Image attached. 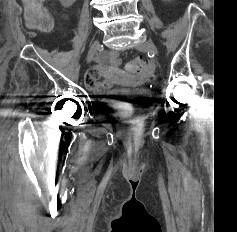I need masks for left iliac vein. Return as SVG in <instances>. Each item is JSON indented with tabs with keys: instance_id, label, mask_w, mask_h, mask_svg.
I'll return each mask as SVG.
<instances>
[{
	"instance_id": "left-iliac-vein-1",
	"label": "left iliac vein",
	"mask_w": 237,
	"mask_h": 232,
	"mask_svg": "<svg viewBox=\"0 0 237 232\" xmlns=\"http://www.w3.org/2000/svg\"><path fill=\"white\" fill-rule=\"evenodd\" d=\"M136 48L140 51H149V52H151L152 54H155V55L158 54L157 47L155 46L154 43H152L150 41L140 43Z\"/></svg>"
}]
</instances>
